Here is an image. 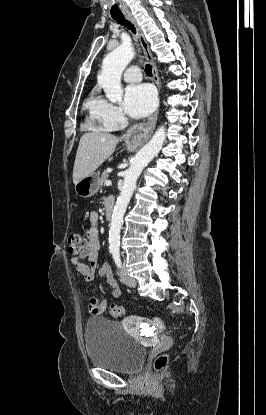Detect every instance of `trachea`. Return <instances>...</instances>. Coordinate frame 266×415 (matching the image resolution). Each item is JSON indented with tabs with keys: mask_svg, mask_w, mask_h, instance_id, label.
<instances>
[{
	"mask_svg": "<svg viewBox=\"0 0 266 415\" xmlns=\"http://www.w3.org/2000/svg\"><path fill=\"white\" fill-rule=\"evenodd\" d=\"M112 18L118 24L123 25L124 27L132 30L133 33H136V29H135L134 25L131 22L127 21L123 15L112 16ZM145 72L148 76H151L152 75V66L149 65V64H146L145 65Z\"/></svg>",
	"mask_w": 266,
	"mask_h": 415,
	"instance_id": "obj_1",
	"label": "trachea"
}]
</instances>
